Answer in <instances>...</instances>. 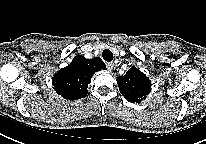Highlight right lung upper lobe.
I'll return each instance as SVG.
<instances>
[{"instance_id":"obj_1","label":"right lung upper lobe","mask_w":206,"mask_h":144,"mask_svg":"<svg viewBox=\"0 0 206 144\" xmlns=\"http://www.w3.org/2000/svg\"><path fill=\"white\" fill-rule=\"evenodd\" d=\"M105 68L100 58L86 59L83 56H76L71 64L54 75L52 84L63 98L80 99L86 96L93 74Z\"/></svg>"}]
</instances>
